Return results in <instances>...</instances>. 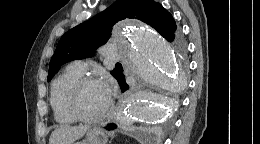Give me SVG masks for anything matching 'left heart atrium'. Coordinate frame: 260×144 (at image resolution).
Listing matches in <instances>:
<instances>
[{
  "instance_id": "left-heart-atrium-1",
  "label": "left heart atrium",
  "mask_w": 260,
  "mask_h": 144,
  "mask_svg": "<svg viewBox=\"0 0 260 144\" xmlns=\"http://www.w3.org/2000/svg\"><path fill=\"white\" fill-rule=\"evenodd\" d=\"M101 85H102V89H103L107 99L109 100V98L111 96V87H110L109 82H103V83H101Z\"/></svg>"
}]
</instances>
